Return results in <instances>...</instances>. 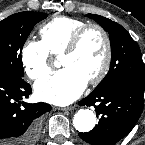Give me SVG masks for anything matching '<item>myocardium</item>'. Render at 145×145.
<instances>
[{"label":"myocardium","mask_w":145,"mask_h":145,"mask_svg":"<svg viewBox=\"0 0 145 145\" xmlns=\"http://www.w3.org/2000/svg\"><path fill=\"white\" fill-rule=\"evenodd\" d=\"M90 30H96L97 32L100 33V35L103 38L104 48H105L104 60H103L100 70L98 71L96 76H94L93 78H91L90 80L87 81L90 85H97L100 82H102L103 79L108 74L110 66H111V62H112L111 40H110V37H109V34L107 33V31L101 25L96 24V23H88V24L82 26L81 28H79L73 34V36L71 37V39L69 40L65 49L59 55V57L61 58L65 55H69V54H72L73 52H75L77 50V48L79 47L80 42L83 39V37Z\"/></svg>","instance_id":"myocardium-1"}]
</instances>
